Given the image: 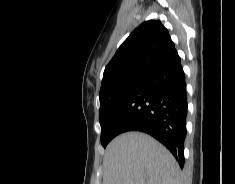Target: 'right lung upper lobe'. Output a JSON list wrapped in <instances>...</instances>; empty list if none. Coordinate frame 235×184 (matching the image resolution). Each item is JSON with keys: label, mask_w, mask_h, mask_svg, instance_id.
<instances>
[{"label": "right lung upper lobe", "mask_w": 235, "mask_h": 184, "mask_svg": "<svg viewBox=\"0 0 235 184\" xmlns=\"http://www.w3.org/2000/svg\"><path fill=\"white\" fill-rule=\"evenodd\" d=\"M176 52L168 30L160 21L142 23L121 44L106 66L99 97L130 79L144 78Z\"/></svg>", "instance_id": "right-lung-upper-lobe-1"}]
</instances>
